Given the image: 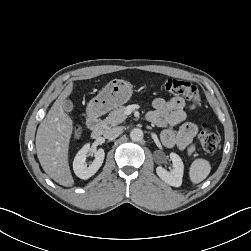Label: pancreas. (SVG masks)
Listing matches in <instances>:
<instances>
[{
  "instance_id": "pancreas-1",
  "label": "pancreas",
  "mask_w": 251,
  "mask_h": 251,
  "mask_svg": "<svg viewBox=\"0 0 251 251\" xmlns=\"http://www.w3.org/2000/svg\"><path fill=\"white\" fill-rule=\"evenodd\" d=\"M125 109V106H119L113 111H111L108 117L103 120L104 126L112 127L122 123L127 118V115L125 114Z\"/></svg>"
}]
</instances>
